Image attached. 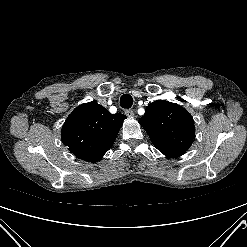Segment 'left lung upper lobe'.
<instances>
[{"instance_id": "obj_1", "label": "left lung upper lobe", "mask_w": 247, "mask_h": 247, "mask_svg": "<svg viewBox=\"0 0 247 247\" xmlns=\"http://www.w3.org/2000/svg\"><path fill=\"white\" fill-rule=\"evenodd\" d=\"M139 123L153 145L169 158L183 155L195 138L192 116L182 106L169 101L150 103Z\"/></svg>"}]
</instances>
